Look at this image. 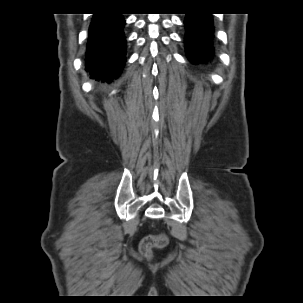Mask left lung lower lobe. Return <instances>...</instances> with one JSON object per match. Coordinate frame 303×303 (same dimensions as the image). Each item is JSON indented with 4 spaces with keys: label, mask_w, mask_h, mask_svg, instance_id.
Listing matches in <instances>:
<instances>
[{
    "label": "left lung lower lobe",
    "mask_w": 303,
    "mask_h": 303,
    "mask_svg": "<svg viewBox=\"0 0 303 303\" xmlns=\"http://www.w3.org/2000/svg\"><path fill=\"white\" fill-rule=\"evenodd\" d=\"M185 46L193 63L209 60L213 55V22L209 13L187 14L185 19Z\"/></svg>",
    "instance_id": "left-lung-lower-lobe-1"
}]
</instances>
